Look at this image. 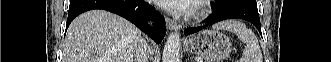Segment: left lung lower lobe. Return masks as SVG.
<instances>
[{
  "mask_svg": "<svg viewBox=\"0 0 331 62\" xmlns=\"http://www.w3.org/2000/svg\"><path fill=\"white\" fill-rule=\"evenodd\" d=\"M226 19H243L252 23L259 32H261L260 18L257 5L244 1H233L224 6H217V13L210 15L204 20L206 23L200 27H192L184 30V34L190 35L196 33L205 27ZM262 35V34H261Z\"/></svg>",
  "mask_w": 331,
  "mask_h": 62,
  "instance_id": "left-lung-lower-lobe-1",
  "label": "left lung lower lobe"
}]
</instances>
